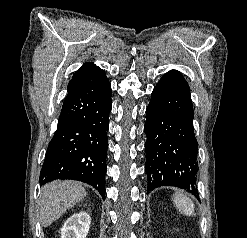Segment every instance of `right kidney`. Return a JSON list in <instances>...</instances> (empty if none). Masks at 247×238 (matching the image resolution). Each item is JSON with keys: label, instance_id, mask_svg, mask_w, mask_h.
<instances>
[{"label": "right kidney", "instance_id": "right-kidney-1", "mask_svg": "<svg viewBox=\"0 0 247 238\" xmlns=\"http://www.w3.org/2000/svg\"><path fill=\"white\" fill-rule=\"evenodd\" d=\"M90 223L91 218L87 212L73 214L61 228V238H86Z\"/></svg>", "mask_w": 247, "mask_h": 238}]
</instances>
